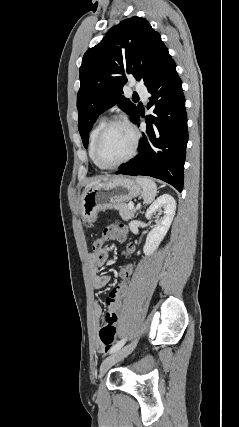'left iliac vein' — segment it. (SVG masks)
<instances>
[{"label": "left iliac vein", "instance_id": "4c4485c4", "mask_svg": "<svg viewBox=\"0 0 239 427\" xmlns=\"http://www.w3.org/2000/svg\"><path fill=\"white\" fill-rule=\"evenodd\" d=\"M137 342V340H134L107 357L101 364L100 377H102L113 365L128 356L136 347Z\"/></svg>", "mask_w": 239, "mask_h": 427}]
</instances>
